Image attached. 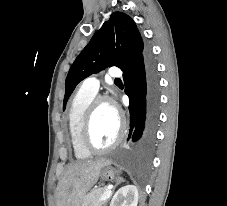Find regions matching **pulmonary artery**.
<instances>
[{"mask_svg":"<svg viewBox=\"0 0 227 206\" xmlns=\"http://www.w3.org/2000/svg\"><path fill=\"white\" fill-rule=\"evenodd\" d=\"M109 75H110V77H113V78H119L122 76V72L120 69L113 67L110 69ZM81 89L86 92L96 94L99 89L98 79L96 77L86 78L81 85Z\"/></svg>","mask_w":227,"mask_h":206,"instance_id":"obj_1","label":"pulmonary artery"}]
</instances>
